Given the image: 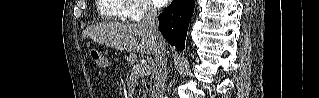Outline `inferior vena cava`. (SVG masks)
Masks as SVG:
<instances>
[{
	"label": "inferior vena cava",
	"instance_id": "1",
	"mask_svg": "<svg viewBox=\"0 0 319 98\" xmlns=\"http://www.w3.org/2000/svg\"><path fill=\"white\" fill-rule=\"evenodd\" d=\"M142 24L147 28L156 44L154 52L155 67L152 75L153 90L151 98H164L167 76L165 40L159 31L157 10L151 3H149L145 8V16Z\"/></svg>",
	"mask_w": 319,
	"mask_h": 98
}]
</instances>
